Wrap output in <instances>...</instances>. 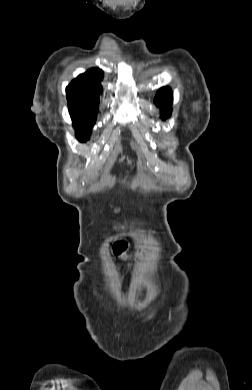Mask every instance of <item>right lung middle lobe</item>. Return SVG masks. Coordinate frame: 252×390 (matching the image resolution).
Returning <instances> with one entry per match:
<instances>
[{"mask_svg": "<svg viewBox=\"0 0 252 390\" xmlns=\"http://www.w3.org/2000/svg\"><path fill=\"white\" fill-rule=\"evenodd\" d=\"M97 112L98 110L70 111L73 126L76 130V138L81 142L89 140V134L95 125Z\"/></svg>", "mask_w": 252, "mask_h": 390, "instance_id": "dd1d6c3e", "label": "right lung middle lobe"}]
</instances>
